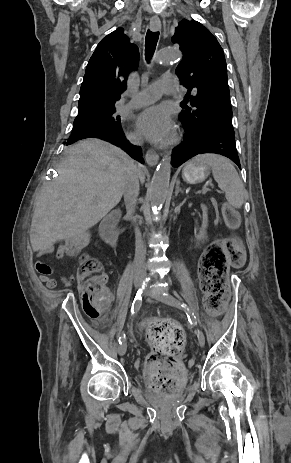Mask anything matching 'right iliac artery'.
<instances>
[{
    "label": "right iliac artery",
    "mask_w": 291,
    "mask_h": 463,
    "mask_svg": "<svg viewBox=\"0 0 291 463\" xmlns=\"http://www.w3.org/2000/svg\"><path fill=\"white\" fill-rule=\"evenodd\" d=\"M149 278H146L145 281H143V284H142V288H140L137 293H136V296L134 298V301L132 303V307H131V315L137 313L141 307V304H142V292H143V289L146 285V282H148ZM125 341V334L124 335H121L119 337V344H122L123 342Z\"/></svg>",
    "instance_id": "1"
}]
</instances>
